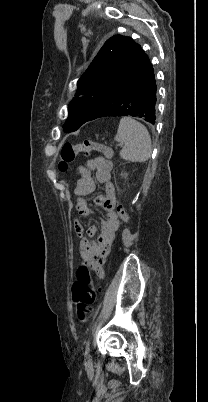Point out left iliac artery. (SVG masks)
Returning <instances> with one entry per match:
<instances>
[{
    "label": "left iliac artery",
    "mask_w": 208,
    "mask_h": 402,
    "mask_svg": "<svg viewBox=\"0 0 208 402\" xmlns=\"http://www.w3.org/2000/svg\"><path fill=\"white\" fill-rule=\"evenodd\" d=\"M90 351V339L86 342V349H85V355L88 356Z\"/></svg>",
    "instance_id": "44dca946"
}]
</instances>
